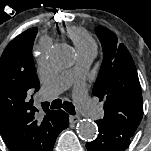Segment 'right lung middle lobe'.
<instances>
[{"instance_id":"dd1d6c3e","label":"right lung middle lobe","mask_w":151,"mask_h":151,"mask_svg":"<svg viewBox=\"0 0 151 151\" xmlns=\"http://www.w3.org/2000/svg\"><path fill=\"white\" fill-rule=\"evenodd\" d=\"M37 31V28H34L32 33L28 35V49L26 51L1 56L0 71H3L11 78L17 79L23 75L24 69L34 66L31 52Z\"/></svg>"}]
</instances>
